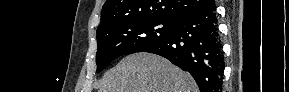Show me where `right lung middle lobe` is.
Listing matches in <instances>:
<instances>
[{"label":"right lung middle lobe","instance_id":"obj_1","mask_svg":"<svg viewBox=\"0 0 289 92\" xmlns=\"http://www.w3.org/2000/svg\"><path fill=\"white\" fill-rule=\"evenodd\" d=\"M174 22L157 18L126 20L97 32V72L121 55L167 39L173 32Z\"/></svg>","mask_w":289,"mask_h":92}]
</instances>
